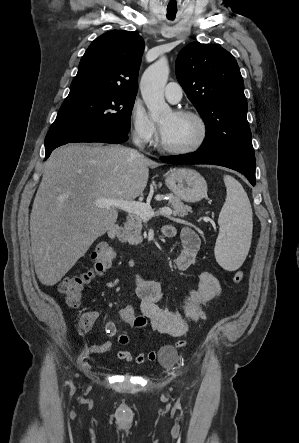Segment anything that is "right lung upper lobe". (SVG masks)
Segmentation results:
<instances>
[{
  "mask_svg": "<svg viewBox=\"0 0 299 443\" xmlns=\"http://www.w3.org/2000/svg\"><path fill=\"white\" fill-rule=\"evenodd\" d=\"M144 40L135 33L112 30L96 38L81 58L71 89L96 88L137 94Z\"/></svg>",
  "mask_w": 299,
  "mask_h": 443,
  "instance_id": "1",
  "label": "right lung upper lobe"
}]
</instances>
